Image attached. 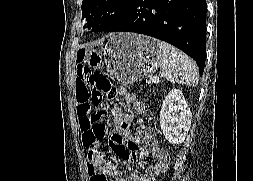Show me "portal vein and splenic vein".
Wrapping results in <instances>:
<instances>
[{
    "mask_svg": "<svg viewBox=\"0 0 253 181\" xmlns=\"http://www.w3.org/2000/svg\"><path fill=\"white\" fill-rule=\"evenodd\" d=\"M149 82L159 83V78L154 76L151 78V80Z\"/></svg>",
    "mask_w": 253,
    "mask_h": 181,
    "instance_id": "portal-vein-and-splenic-vein-1",
    "label": "portal vein and splenic vein"
}]
</instances>
